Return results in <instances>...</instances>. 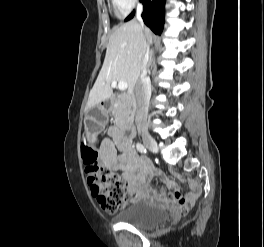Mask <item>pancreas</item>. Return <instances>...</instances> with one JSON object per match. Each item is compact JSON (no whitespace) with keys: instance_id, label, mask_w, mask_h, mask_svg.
I'll return each mask as SVG.
<instances>
[{"instance_id":"pancreas-1","label":"pancreas","mask_w":264,"mask_h":247,"mask_svg":"<svg viewBox=\"0 0 264 247\" xmlns=\"http://www.w3.org/2000/svg\"><path fill=\"white\" fill-rule=\"evenodd\" d=\"M131 98L126 95L119 96L112 105V114L117 125H122L130 119Z\"/></svg>"}]
</instances>
